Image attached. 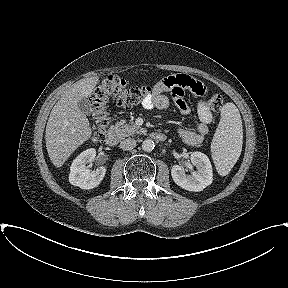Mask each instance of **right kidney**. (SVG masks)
<instances>
[{"instance_id":"obj_1","label":"right kidney","mask_w":288,"mask_h":288,"mask_svg":"<svg viewBox=\"0 0 288 288\" xmlns=\"http://www.w3.org/2000/svg\"><path fill=\"white\" fill-rule=\"evenodd\" d=\"M96 150L94 148L83 151L72 162L70 167L69 182L81 189H92L103 180L106 168L99 167L96 171L87 169L86 165L94 160Z\"/></svg>"}]
</instances>
